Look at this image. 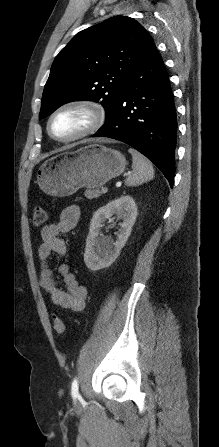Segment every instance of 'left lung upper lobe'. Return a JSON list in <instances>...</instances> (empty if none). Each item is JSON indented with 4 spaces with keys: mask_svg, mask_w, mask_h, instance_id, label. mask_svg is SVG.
<instances>
[{
    "mask_svg": "<svg viewBox=\"0 0 219 447\" xmlns=\"http://www.w3.org/2000/svg\"><path fill=\"white\" fill-rule=\"evenodd\" d=\"M151 36L137 21L116 16L79 32L56 56L39 118L75 100L101 101L107 118Z\"/></svg>",
    "mask_w": 219,
    "mask_h": 447,
    "instance_id": "5c2ea615",
    "label": "left lung upper lobe"
}]
</instances>
